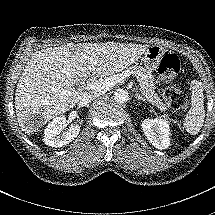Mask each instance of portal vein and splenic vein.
Returning a JSON list of instances; mask_svg holds the SVG:
<instances>
[{"mask_svg": "<svg viewBox=\"0 0 215 215\" xmlns=\"http://www.w3.org/2000/svg\"><path fill=\"white\" fill-rule=\"evenodd\" d=\"M130 75L131 73L128 70H126L117 76L108 77L101 82L89 79V81L84 82L81 87L82 88L91 87L93 89L107 90L110 87L116 85L120 80L125 79Z\"/></svg>", "mask_w": 215, "mask_h": 215, "instance_id": "1", "label": "portal vein and splenic vein"}]
</instances>
